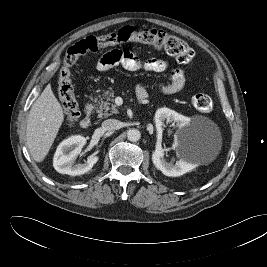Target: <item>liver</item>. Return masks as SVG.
<instances>
[{
	"label": "liver",
	"instance_id": "liver-1",
	"mask_svg": "<svg viewBox=\"0 0 267 267\" xmlns=\"http://www.w3.org/2000/svg\"><path fill=\"white\" fill-rule=\"evenodd\" d=\"M63 121V109L48 84L32 105L27 119V146L36 162H42L47 156Z\"/></svg>",
	"mask_w": 267,
	"mask_h": 267
}]
</instances>
